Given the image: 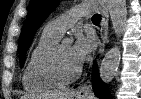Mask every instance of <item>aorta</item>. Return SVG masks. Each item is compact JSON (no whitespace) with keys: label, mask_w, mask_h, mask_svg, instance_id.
Returning a JSON list of instances; mask_svg holds the SVG:
<instances>
[{"label":"aorta","mask_w":141,"mask_h":99,"mask_svg":"<svg viewBox=\"0 0 141 99\" xmlns=\"http://www.w3.org/2000/svg\"><path fill=\"white\" fill-rule=\"evenodd\" d=\"M105 4L110 14L112 28L118 40L122 36L126 26V0H105ZM118 44L116 43L115 46L106 52L100 65V78L105 84H109L113 80L120 64L121 49Z\"/></svg>","instance_id":"762f6f07"}]
</instances>
